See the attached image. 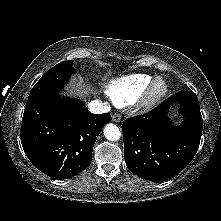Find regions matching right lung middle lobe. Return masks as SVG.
<instances>
[{
	"label": "right lung middle lobe",
	"mask_w": 221,
	"mask_h": 221,
	"mask_svg": "<svg viewBox=\"0 0 221 221\" xmlns=\"http://www.w3.org/2000/svg\"><path fill=\"white\" fill-rule=\"evenodd\" d=\"M73 60L63 61L48 71L32 88L28 99L51 91L60 90L74 72Z\"/></svg>",
	"instance_id": "obj_1"
}]
</instances>
